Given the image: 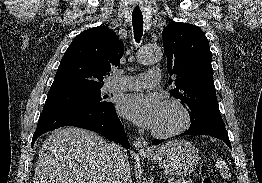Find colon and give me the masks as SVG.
<instances>
[{
	"label": "colon",
	"instance_id": "obj_1",
	"mask_svg": "<svg viewBox=\"0 0 262 183\" xmlns=\"http://www.w3.org/2000/svg\"><path fill=\"white\" fill-rule=\"evenodd\" d=\"M202 183H217L214 179L209 176H206L202 179Z\"/></svg>",
	"mask_w": 262,
	"mask_h": 183
}]
</instances>
